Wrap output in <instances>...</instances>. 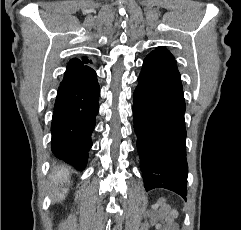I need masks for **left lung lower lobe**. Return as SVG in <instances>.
<instances>
[{
  "label": "left lung lower lobe",
  "mask_w": 241,
  "mask_h": 230,
  "mask_svg": "<svg viewBox=\"0 0 241 230\" xmlns=\"http://www.w3.org/2000/svg\"><path fill=\"white\" fill-rule=\"evenodd\" d=\"M185 100L176 61L149 53L134 91V129L146 191L186 196Z\"/></svg>",
  "instance_id": "left-lung-lower-lobe-1"
}]
</instances>
